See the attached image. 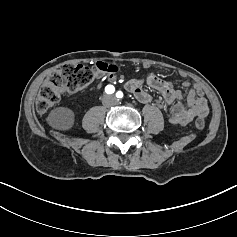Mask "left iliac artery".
<instances>
[{
  "mask_svg": "<svg viewBox=\"0 0 237 237\" xmlns=\"http://www.w3.org/2000/svg\"><path fill=\"white\" fill-rule=\"evenodd\" d=\"M116 96H117L118 98H122V97H123V92L118 91V92L116 93Z\"/></svg>",
  "mask_w": 237,
  "mask_h": 237,
  "instance_id": "obj_1",
  "label": "left iliac artery"
}]
</instances>
